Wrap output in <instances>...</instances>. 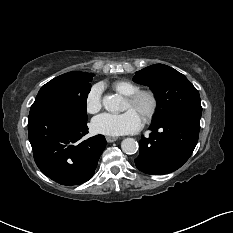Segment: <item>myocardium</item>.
Masks as SVG:
<instances>
[{"mask_svg": "<svg viewBox=\"0 0 233 233\" xmlns=\"http://www.w3.org/2000/svg\"><path fill=\"white\" fill-rule=\"evenodd\" d=\"M148 98L150 101V106L142 117L145 123H149L155 117L158 110V98L154 91L150 89H139L133 94L126 97V100L132 104H137L142 98Z\"/></svg>", "mask_w": 233, "mask_h": 233, "instance_id": "1", "label": "myocardium"}]
</instances>
